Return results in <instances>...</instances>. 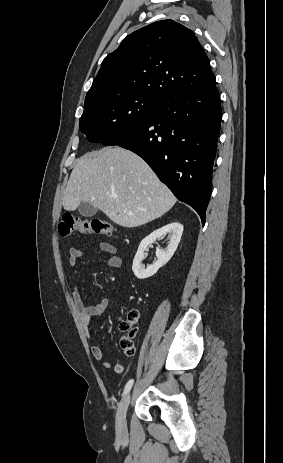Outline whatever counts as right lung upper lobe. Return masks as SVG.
Masks as SVG:
<instances>
[{"label": "right lung upper lobe", "mask_w": 283, "mask_h": 463, "mask_svg": "<svg viewBox=\"0 0 283 463\" xmlns=\"http://www.w3.org/2000/svg\"><path fill=\"white\" fill-rule=\"evenodd\" d=\"M215 82L194 33L173 20H162L128 35L103 60L85 103L123 93L160 102L207 89Z\"/></svg>", "instance_id": "obj_1"}]
</instances>
